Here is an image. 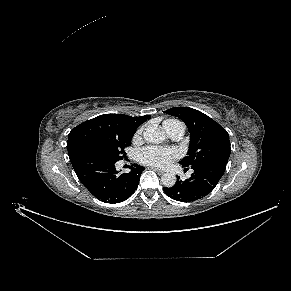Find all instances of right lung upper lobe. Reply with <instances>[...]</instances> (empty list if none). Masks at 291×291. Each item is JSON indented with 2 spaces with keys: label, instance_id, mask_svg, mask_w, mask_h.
<instances>
[{
  "label": "right lung upper lobe",
  "instance_id": "obj_1",
  "mask_svg": "<svg viewBox=\"0 0 291 291\" xmlns=\"http://www.w3.org/2000/svg\"><path fill=\"white\" fill-rule=\"evenodd\" d=\"M149 115L130 117L124 114H103L73 128L68 136L67 149L70 160L89 153L90 148L114 137L132 138L135 130Z\"/></svg>",
  "mask_w": 291,
  "mask_h": 291
}]
</instances>
